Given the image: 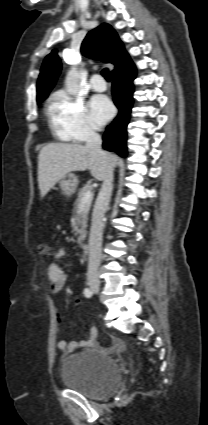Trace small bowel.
<instances>
[{"mask_svg": "<svg viewBox=\"0 0 208 425\" xmlns=\"http://www.w3.org/2000/svg\"><path fill=\"white\" fill-rule=\"evenodd\" d=\"M66 254L64 249H58L55 253V258L60 259ZM46 272L48 275L49 286L52 294L60 293L66 285L67 277L64 270L55 262H48L46 264ZM57 321L59 322L60 316L56 315ZM97 328L92 327L89 336L87 339L79 341L68 342L66 340H60L57 344L58 348L65 353H72L82 347H90L95 345L97 338ZM115 344L119 347L122 346V343L118 340L115 341Z\"/></svg>", "mask_w": 208, "mask_h": 425, "instance_id": "c3829d8e", "label": "small bowel"}]
</instances>
